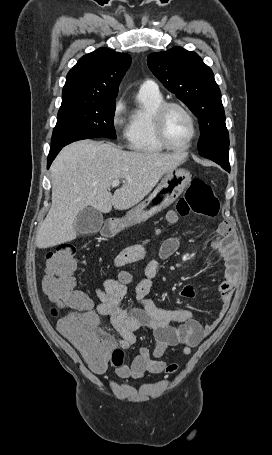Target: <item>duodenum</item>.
Wrapping results in <instances>:
<instances>
[{"instance_id":"1","label":"duodenum","mask_w":272,"mask_h":455,"mask_svg":"<svg viewBox=\"0 0 272 455\" xmlns=\"http://www.w3.org/2000/svg\"><path fill=\"white\" fill-rule=\"evenodd\" d=\"M115 232V226L112 222H108L104 225L102 228V234L106 237H110L114 234Z\"/></svg>"}]
</instances>
